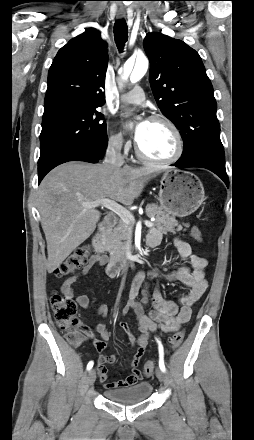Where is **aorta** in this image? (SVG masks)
Segmentation results:
<instances>
[{"label":"aorta","instance_id":"aorta-1","mask_svg":"<svg viewBox=\"0 0 254 440\" xmlns=\"http://www.w3.org/2000/svg\"><path fill=\"white\" fill-rule=\"evenodd\" d=\"M148 59L145 56H139L136 61H127L123 66L121 79L127 81L130 77L132 81H139L147 72Z\"/></svg>","mask_w":254,"mask_h":440}]
</instances>
